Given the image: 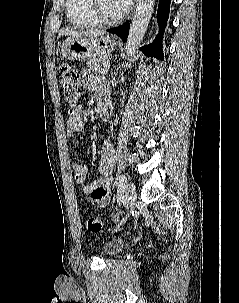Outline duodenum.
I'll return each instance as SVG.
<instances>
[{
  "label": "duodenum",
  "instance_id": "duodenum-1",
  "mask_svg": "<svg viewBox=\"0 0 239 303\" xmlns=\"http://www.w3.org/2000/svg\"><path fill=\"white\" fill-rule=\"evenodd\" d=\"M99 117L102 121H108L110 117L109 108L106 105H100L98 110Z\"/></svg>",
  "mask_w": 239,
  "mask_h": 303
}]
</instances>
